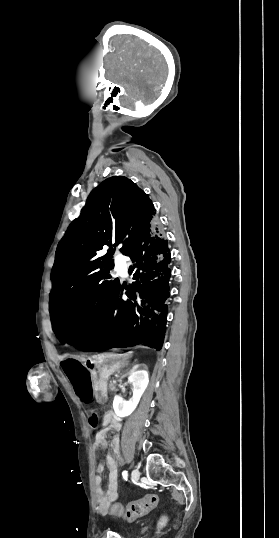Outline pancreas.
Instances as JSON below:
<instances>
[{
	"label": "pancreas",
	"mask_w": 279,
	"mask_h": 538,
	"mask_svg": "<svg viewBox=\"0 0 279 538\" xmlns=\"http://www.w3.org/2000/svg\"><path fill=\"white\" fill-rule=\"evenodd\" d=\"M108 384L110 385V387H113L114 389H117L119 387V384L115 382L113 379H110L108 381ZM113 388H110V391H113Z\"/></svg>",
	"instance_id": "1"
}]
</instances>
